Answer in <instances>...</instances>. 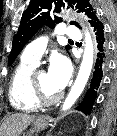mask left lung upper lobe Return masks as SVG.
<instances>
[{
	"label": "left lung upper lobe",
	"mask_w": 117,
	"mask_h": 136,
	"mask_svg": "<svg viewBox=\"0 0 117 136\" xmlns=\"http://www.w3.org/2000/svg\"><path fill=\"white\" fill-rule=\"evenodd\" d=\"M62 6L76 8L78 12H84L89 18L88 22L93 27L100 22L95 9L88 0H31L28 8L23 13L18 32L13 38L12 50L8 56L9 65L13 63L24 45L42 25L54 28L55 22H61V18L58 17H55V21H52L50 11H60ZM72 23L78 25L76 22ZM69 49L70 46L67 45L66 50Z\"/></svg>",
	"instance_id": "obj_1"
}]
</instances>
